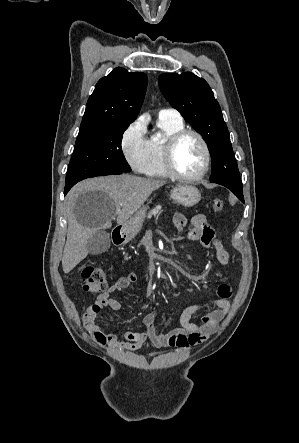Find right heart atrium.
Returning <instances> with one entry per match:
<instances>
[{
  "label": "right heart atrium",
  "instance_id": "d8ad5b80",
  "mask_svg": "<svg viewBox=\"0 0 299 443\" xmlns=\"http://www.w3.org/2000/svg\"><path fill=\"white\" fill-rule=\"evenodd\" d=\"M147 141L146 128L141 120L130 123L121 135V151L135 171L142 172L144 169L147 160Z\"/></svg>",
  "mask_w": 299,
  "mask_h": 443
}]
</instances>
